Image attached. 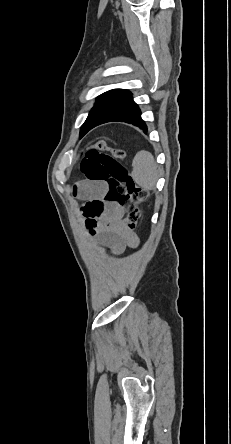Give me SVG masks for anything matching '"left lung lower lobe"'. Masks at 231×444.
Returning a JSON list of instances; mask_svg holds the SVG:
<instances>
[{
	"label": "left lung lower lobe",
	"mask_w": 231,
	"mask_h": 444,
	"mask_svg": "<svg viewBox=\"0 0 231 444\" xmlns=\"http://www.w3.org/2000/svg\"><path fill=\"white\" fill-rule=\"evenodd\" d=\"M111 121L128 122L139 127L144 132L147 131L146 124L141 119V111L132 98L125 103V105L116 115L108 117L106 119H102L101 121L91 125L89 130L99 124Z\"/></svg>",
	"instance_id": "0a47b994"
}]
</instances>
